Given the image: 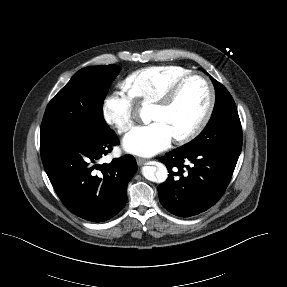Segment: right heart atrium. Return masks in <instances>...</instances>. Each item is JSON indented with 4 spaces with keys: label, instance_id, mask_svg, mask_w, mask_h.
<instances>
[{
    "label": "right heart atrium",
    "instance_id": "right-heart-atrium-1",
    "mask_svg": "<svg viewBox=\"0 0 287 287\" xmlns=\"http://www.w3.org/2000/svg\"><path fill=\"white\" fill-rule=\"evenodd\" d=\"M134 97L126 86L109 94L103 101L101 114L104 121L119 134L131 129L136 118Z\"/></svg>",
    "mask_w": 287,
    "mask_h": 287
}]
</instances>
